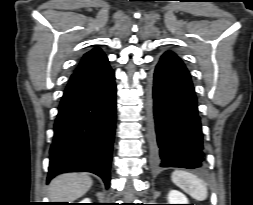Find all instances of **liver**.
Returning a JSON list of instances; mask_svg holds the SVG:
<instances>
[{
	"mask_svg": "<svg viewBox=\"0 0 253 205\" xmlns=\"http://www.w3.org/2000/svg\"><path fill=\"white\" fill-rule=\"evenodd\" d=\"M92 179L87 173H66L55 177L48 194L52 202H69L83 196L92 186Z\"/></svg>",
	"mask_w": 253,
	"mask_h": 205,
	"instance_id": "liver-1",
	"label": "liver"
}]
</instances>
